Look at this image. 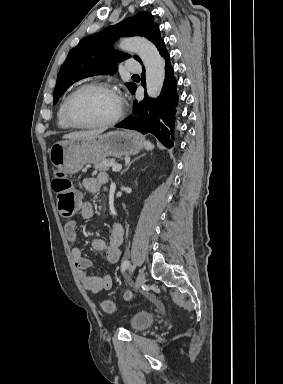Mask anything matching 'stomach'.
Here are the masks:
<instances>
[{
    "label": "stomach",
    "mask_w": 283,
    "mask_h": 384,
    "mask_svg": "<svg viewBox=\"0 0 283 384\" xmlns=\"http://www.w3.org/2000/svg\"><path fill=\"white\" fill-rule=\"evenodd\" d=\"M144 148L137 132H108L89 138L57 142L49 150L51 164L66 174H77L85 164H98L107 156H134Z\"/></svg>",
    "instance_id": "stomach-1"
}]
</instances>
